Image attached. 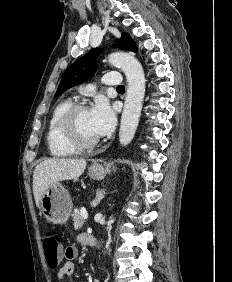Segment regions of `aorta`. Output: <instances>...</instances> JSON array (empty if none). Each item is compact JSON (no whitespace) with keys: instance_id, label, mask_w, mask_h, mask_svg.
<instances>
[{"instance_id":"obj_1","label":"aorta","mask_w":232,"mask_h":282,"mask_svg":"<svg viewBox=\"0 0 232 282\" xmlns=\"http://www.w3.org/2000/svg\"><path fill=\"white\" fill-rule=\"evenodd\" d=\"M109 63L123 70L127 79V95L121 117L119 142L128 145L136 132L145 94V76L140 62L126 52L109 55Z\"/></svg>"}]
</instances>
